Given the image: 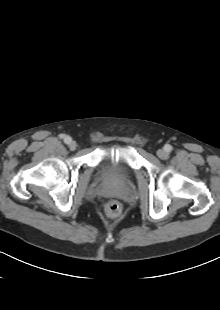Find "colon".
I'll return each instance as SVG.
<instances>
[{
	"mask_svg": "<svg viewBox=\"0 0 220 310\" xmlns=\"http://www.w3.org/2000/svg\"><path fill=\"white\" fill-rule=\"evenodd\" d=\"M121 210L122 207L118 202L110 201L106 204V211L110 216H118Z\"/></svg>",
	"mask_w": 220,
	"mask_h": 310,
	"instance_id": "colon-1",
	"label": "colon"
}]
</instances>
